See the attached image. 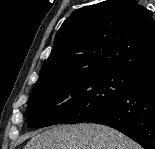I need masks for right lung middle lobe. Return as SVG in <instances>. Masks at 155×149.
<instances>
[{
  "mask_svg": "<svg viewBox=\"0 0 155 149\" xmlns=\"http://www.w3.org/2000/svg\"><path fill=\"white\" fill-rule=\"evenodd\" d=\"M138 76L131 71H89L37 82L27 105V126L90 122L124 95Z\"/></svg>",
  "mask_w": 155,
  "mask_h": 149,
  "instance_id": "obj_1",
  "label": "right lung middle lobe"
}]
</instances>
